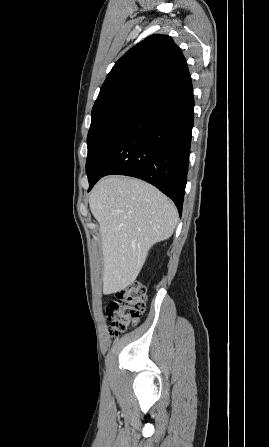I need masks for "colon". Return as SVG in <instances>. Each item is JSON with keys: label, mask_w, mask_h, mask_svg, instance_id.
Returning a JSON list of instances; mask_svg holds the SVG:
<instances>
[{"label": "colon", "mask_w": 269, "mask_h": 447, "mask_svg": "<svg viewBox=\"0 0 269 447\" xmlns=\"http://www.w3.org/2000/svg\"><path fill=\"white\" fill-rule=\"evenodd\" d=\"M145 295L146 289L139 282L114 293L113 300L106 308L112 336L121 335L140 322L141 315L145 310Z\"/></svg>", "instance_id": "colon-1"}]
</instances>
